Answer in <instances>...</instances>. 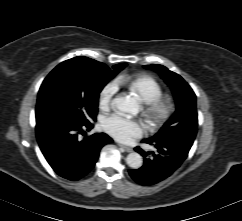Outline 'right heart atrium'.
<instances>
[{
  "label": "right heart atrium",
  "mask_w": 242,
  "mask_h": 221,
  "mask_svg": "<svg viewBox=\"0 0 242 221\" xmlns=\"http://www.w3.org/2000/svg\"><path fill=\"white\" fill-rule=\"evenodd\" d=\"M118 91V84L115 81L106 83L99 93V104L103 108L109 107Z\"/></svg>",
  "instance_id": "right-heart-atrium-1"
}]
</instances>
